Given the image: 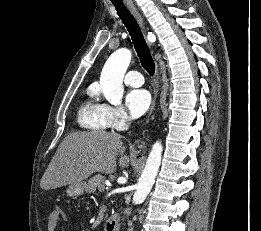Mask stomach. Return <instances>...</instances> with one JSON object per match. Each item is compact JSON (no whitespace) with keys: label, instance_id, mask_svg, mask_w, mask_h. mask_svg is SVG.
<instances>
[{"label":"stomach","instance_id":"stomach-1","mask_svg":"<svg viewBox=\"0 0 261 231\" xmlns=\"http://www.w3.org/2000/svg\"><path fill=\"white\" fill-rule=\"evenodd\" d=\"M85 187H86L85 182L70 184L66 189L67 196L79 197L84 193Z\"/></svg>","mask_w":261,"mask_h":231}]
</instances>
